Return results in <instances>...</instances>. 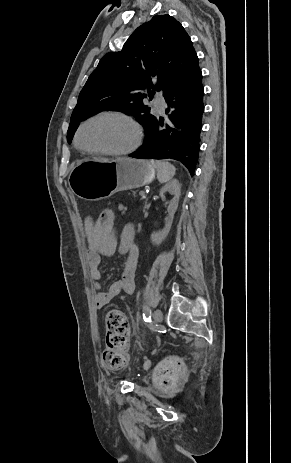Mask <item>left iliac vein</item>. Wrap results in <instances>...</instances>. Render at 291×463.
I'll return each mask as SVG.
<instances>
[{
    "label": "left iliac vein",
    "mask_w": 291,
    "mask_h": 463,
    "mask_svg": "<svg viewBox=\"0 0 291 463\" xmlns=\"http://www.w3.org/2000/svg\"><path fill=\"white\" fill-rule=\"evenodd\" d=\"M153 319L156 323H160L163 319V314L160 309H156L153 313Z\"/></svg>",
    "instance_id": "1"
}]
</instances>
